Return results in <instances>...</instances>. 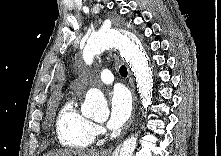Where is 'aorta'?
<instances>
[{"mask_svg": "<svg viewBox=\"0 0 221 156\" xmlns=\"http://www.w3.org/2000/svg\"><path fill=\"white\" fill-rule=\"evenodd\" d=\"M110 48L119 50L121 56L131 67L136 78L142 105L147 109L151 104L153 74L148 56L135 35L115 28L98 31L88 38L83 49V59L87 64H91L96 54ZM81 112L88 118L106 119L109 115V109L104 94L99 89H89ZM137 139L138 134L131 135L123 142L119 152L115 153L114 156H132L137 147Z\"/></svg>", "mask_w": 221, "mask_h": 156, "instance_id": "762f6f07", "label": "aorta"}]
</instances>
